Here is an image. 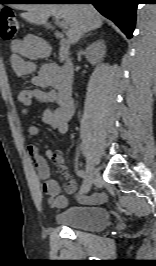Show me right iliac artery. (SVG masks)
<instances>
[{
	"label": "right iliac artery",
	"instance_id": "82829eb1",
	"mask_svg": "<svg viewBox=\"0 0 156 266\" xmlns=\"http://www.w3.org/2000/svg\"><path fill=\"white\" fill-rule=\"evenodd\" d=\"M78 176L83 178V179H85L86 178V172L84 170H79L78 171Z\"/></svg>",
	"mask_w": 156,
	"mask_h": 266
}]
</instances>
